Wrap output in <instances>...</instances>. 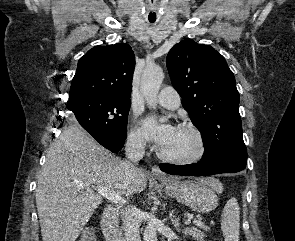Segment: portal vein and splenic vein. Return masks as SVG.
<instances>
[{
    "label": "portal vein and splenic vein",
    "instance_id": "18ae733b",
    "mask_svg": "<svg viewBox=\"0 0 295 241\" xmlns=\"http://www.w3.org/2000/svg\"><path fill=\"white\" fill-rule=\"evenodd\" d=\"M95 190L103 197H105L106 199H108L109 201L113 202V203H120V202H125V200L118 194H116L114 191L106 188V187H95ZM193 223L196 226L201 227L203 225V222L199 219V220H194Z\"/></svg>",
    "mask_w": 295,
    "mask_h": 241
}]
</instances>
